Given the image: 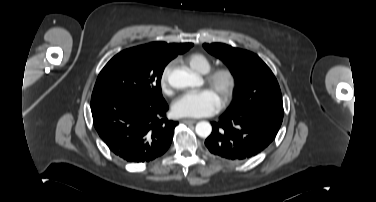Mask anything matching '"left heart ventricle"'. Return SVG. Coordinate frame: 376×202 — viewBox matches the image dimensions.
Here are the masks:
<instances>
[{
  "mask_svg": "<svg viewBox=\"0 0 376 202\" xmlns=\"http://www.w3.org/2000/svg\"><path fill=\"white\" fill-rule=\"evenodd\" d=\"M217 96H218V98L220 99V96H219V93L217 92V91H213Z\"/></svg>",
  "mask_w": 376,
  "mask_h": 202,
  "instance_id": "1",
  "label": "left heart ventricle"
}]
</instances>
